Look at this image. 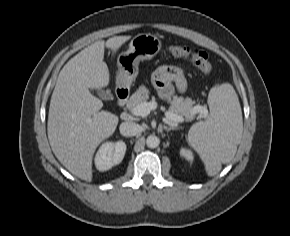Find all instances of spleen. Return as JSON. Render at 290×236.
Instances as JSON below:
<instances>
[{
	"instance_id": "1",
	"label": "spleen",
	"mask_w": 290,
	"mask_h": 236,
	"mask_svg": "<svg viewBox=\"0 0 290 236\" xmlns=\"http://www.w3.org/2000/svg\"><path fill=\"white\" fill-rule=\"evenodd\" d=\"M209 117L192 125L189 145L199 154L208 176L220 172L222 163L236 154L243 131L242 111L238 96L229 83L214 86L208 95Z\"/></svg>"
}]
</instances>
